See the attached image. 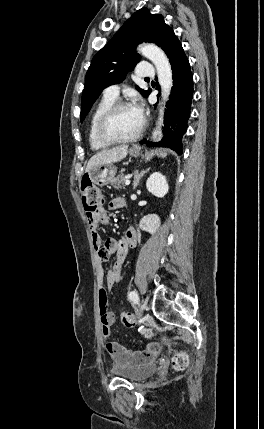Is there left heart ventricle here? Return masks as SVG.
<instances>
[{
	"label": "left heart ventricle",
	"mask_w": 264,
	"mask_h": 429,
	"mask_svg": "<svg viewBox=\"0 0 264 429\" xmlns=\"http://www.w3.org/2000/svg\"><path fill=\"white\" fill-rule=\"evenodd\" d=\"M141 121L133 107L120 109L109 120L107 133L115 138L129 137L139 129Z\"/></svg>",
	"instance_id": "obj_1"
}]
</instances>
